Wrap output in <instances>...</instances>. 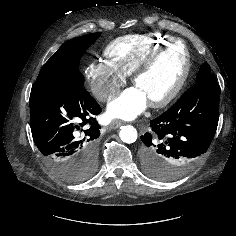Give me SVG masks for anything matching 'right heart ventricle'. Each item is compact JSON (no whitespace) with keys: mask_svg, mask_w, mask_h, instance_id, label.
I'll use <instances>...</instances> for the list:
<instances>
[{"mask_svg":"<svg viewBox=\"0 0 236 236\" xmlns=\"http://www.w3.org/2000/svg\"><path fill=\"white\" fill-rule=\"evenodd\" d=\"M173 39V36L162 33L123 36L109 43L104 54L107 61L126 76L155 49Z\"/></svg>","mask_w":236,"mask_h":236,"instance_id":"right-heart-ventricle-1","label":"right heart ventricle"}]
</instances>
